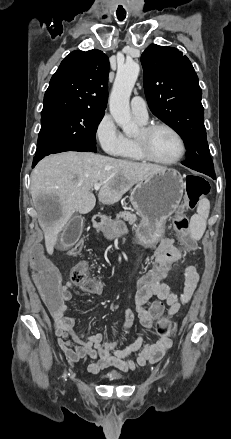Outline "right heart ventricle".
<instances>
[{"mask_svg":"<svg viewBox=\"0 0 231 439\" xmlns=\"http://www.w3.org/2000/svg\"><path fill=\"white\" fill-rule=\"evenodd\" d=\"M120 156L130 161H143L142 156L136 148L134 138L131 137H125V147Z\"/></svg>","mask_w":231,"mask_h":439,"instance_id":"right-heart-ventricle-1","label":"right heart ventricle"}]
</instances>
